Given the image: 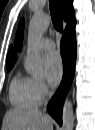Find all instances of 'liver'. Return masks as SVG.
I'll return each instance as SVG.
<instances>
[{
	"label": "liver",
	"mask_w": 95,
	"mask_h": 130,
	"mask_svg": "<svg viewBox=\"0 0 95 130\" xmlns=\"http://www.w3.org/2000/svg\"><path fill=\"white\" fill-rule=\"evenodd\" d=\"M2 128V130H53V121L40 110L13 108L6 112Z\"/></svg>",
	"instance_id": "obj_1"
}]
</instances>
